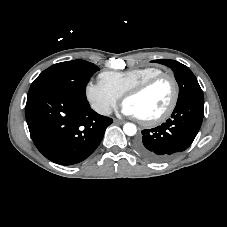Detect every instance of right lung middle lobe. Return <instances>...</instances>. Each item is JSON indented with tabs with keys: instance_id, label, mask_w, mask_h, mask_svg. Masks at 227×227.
Segmentation results:
<instances>
[{
	"instance_id": "right-lung-middle-lobe-1",
	"label": "right lung middle lobe",
	"mask_w": 227,
	"mask_h": 227,
	"mask_svg": "<svg viewBox=\"0 0 227 227\" xmlns=\"http://www.w3.org/2000/svg\"><path fill=\"white\" fill-rule=\"evenodd\" d=\"M99 68L84 60L66 61L44 70L32 83L28 96L55 91L83 98V89Z\"/></svg>"
}]
</instances>
